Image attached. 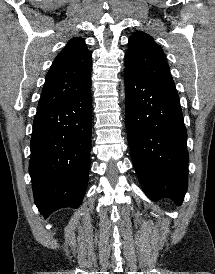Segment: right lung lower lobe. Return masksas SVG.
<instances>
[{"label":"right lung lower lobe","instance_id":"1","mask_svg":"<svg viewBox=\"0 0 215 274\" xmlns=\"http://www.w3.org/2000/svg\"><path fill=\"white\" fill-rule=\"evenodd\" d=\"M91 84L77 95L37 111L29 173L35 204L47 218L78 208L86 191L91 150Z\"/></svg>","mask_w":215,"mask_h":274}]
</instances>
